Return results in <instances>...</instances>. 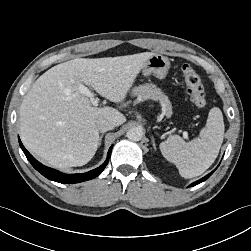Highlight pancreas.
<instances>
[{"label": "pancreas", "instance_id": "1", "mask_svg": "<svg viewBox=\"0 0 251 251\" xmlns=\"http://www.w3.org/2000/svg\"><path fill=\"white\" fill-rule=\"evenodd\" d=\"M132 96H137L142 99H150L159 101L163 106V111L170 117L172 115V105L168 97L156 85L147 83L134 87L131 92Z\"/></svg>", "mask_w": 251, "mask_h": 251}]
</instances>
